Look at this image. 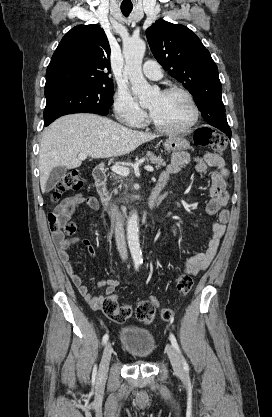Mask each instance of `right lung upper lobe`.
<instances>
[{
  "instance_id": "obj_1",
  "label": "right lung upper lobe",
  "mask_w": 272,
  "mask_h": 417,
  "mask_svg": "<svg viewBox=\"0 0 272 417\" xmlns=\"http://www.w3.org/2000/svg\"><path fill=\"white\" fill-rule=\"evenodd\" d=\"M109 68L110 46L104 30L96 24L75 26L52 56L46 71L45 91L112 85Z\"/></svg>"
}]
</instances>
